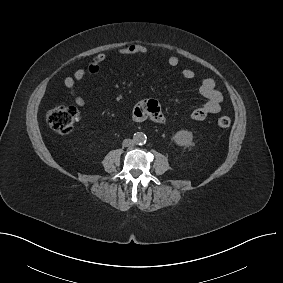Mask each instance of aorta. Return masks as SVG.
I'll list each match as a JSON object with an SVG mask.
<instances>
[{"mask_svg": "<svg viewBox=\"0 0 283 283\" xmlns=\"http://www.w3.org/2000/svg\"><path fill=\"white\" fill-rule=\"evenodd\" d=\"M146 139H147L146 135L142 132H137L133 136V141L136 144H144L146 142Z\"/></svg>", "mask_w": 283, "mask_h": 283, "instance_id": "762f6f07", "label": "aorta"}]
</instances>
